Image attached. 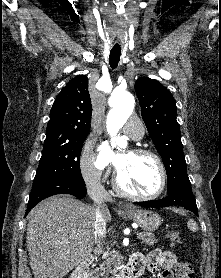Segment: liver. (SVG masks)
<instances>
[{
    "instance_id": "liver-1",
    "label": "liver",
    "mask_w": 221,
    "mask_h": 278,
    "mask_svg": "<svg viewBox=\"0 0 221 278\" xmlns=\"http://www.w3.org/2000/svg\"><path fill=\"white\" fill-rule=\"evenodd\" d=\"M95 213L96 205L68 195L50 197L30 211L26 242L35 278H63L90 256ZM103 215L111 221L107 206Z\"/></svg>"
}]
</instances>
